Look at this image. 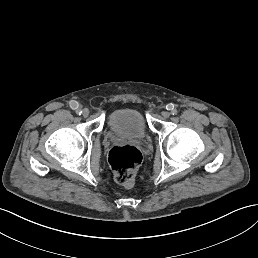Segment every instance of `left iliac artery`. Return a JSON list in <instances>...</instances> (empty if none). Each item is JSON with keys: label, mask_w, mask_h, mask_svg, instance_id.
<instances>
[{"label": "left iliac artery", "mask_w": 258, "mask_h": 258, "mask_svg": "<svg viewBox=\"0 0 258 258\" xmlns=\"http://www.w3.org/2000/svg\"><path fill=\"white\" fill-rule=\"evenodd\" d=\"M177 113H178L177 109H173V110L171 111V114H172V115H176Z\"/></svg>", "instance_id": "obj_1"}]
</instances>
